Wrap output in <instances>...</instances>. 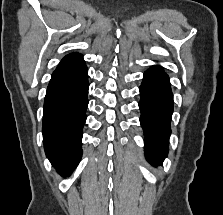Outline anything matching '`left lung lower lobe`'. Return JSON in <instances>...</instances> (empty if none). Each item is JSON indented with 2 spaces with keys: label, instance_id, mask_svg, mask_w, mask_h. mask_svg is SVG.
Instances as JSON below:
<instances>
[{
  "label": "left lung lower lobe",
  "instance_id": "left-lung-lower-lobe-1",
  "mask_svg": "<svg viewBox=\"0 0 223 215\" xmlns=\"http://www.w3.org/2000/svg\"><path fill=\"white\" fill-rule=\"evenodd\" d=\"M140 123L145 134V154L153 165L161 164L168 153L173 112V94L169 77L159 66L144 73L140 86Z\"/></svg>",
  "mask_w": 223,
  "mask_h": 215
}]
</instances>
